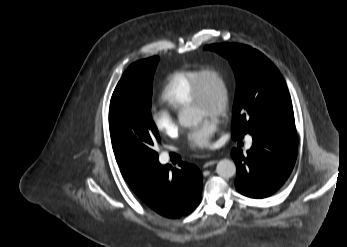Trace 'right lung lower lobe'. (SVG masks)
I'll return each instance as SVG.
<instances>
[{
	"mask_svg": "<svg viewBox=\"0 0 347 247\" xmlns=\"http://www.w3.org/2000/svg\"><path fill=\"white\" fill-rule=\"evenodd\" d=\"M180 168L154 166L145 188L137 196L158 214L180 218L191 213L200 203L202 174L192 164L181 162Z\"/></svg>",
	"mask_w": 347,
	"mask_h": 247,
	"instance_id": "obj_1",
	"label": "right lung lower lobe"
}]
</instances>
